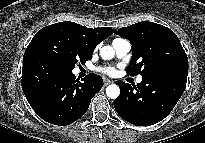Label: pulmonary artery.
<instances>
[{
    "instance_id": "1",
    "label": "pulmonary artery",
    "mask_w": 205,
    "mask_h": 143,
    "mask_svg": "<svg viewBox=\"0 0 205 143\" xmlns=\"http://www.w3.org/2000/svg\"><path fill=\"white\" fill-rule=\"evenodd\" d=\"M113 48L115 50L117 58L122 59V58L126 57L127 54L130 52L131 44L129 43V41H127L125 39H115L113 41ZM136 82L141 83L142 76H138L136 79Z\"/></svg>"
}]
</instances>
